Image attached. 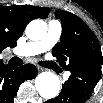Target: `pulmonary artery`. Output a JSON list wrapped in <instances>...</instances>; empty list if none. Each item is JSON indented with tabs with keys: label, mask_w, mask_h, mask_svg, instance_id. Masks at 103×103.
<instances>
[{
	"label": "pulmonary artery",
	"mask_w": 103,
	"mask_h": 103,
	"mask_svg": "<svg viewBox=\"0 0 103 103\" xmlns=\"http://www.w3.org/2000/svg\"><path fill=\"white\" fill-rule=\"evenodd\" d=\"M61 34V23L57 20H51L48 25L47 34L43 39L20 45L15 49L14 53L18 56H34L46 52L59 41ZM69 75V72L65 73V78H68Z\"/></svg>",
	"instance_id": "pulmonary-artery-1"
}]
</instances>
